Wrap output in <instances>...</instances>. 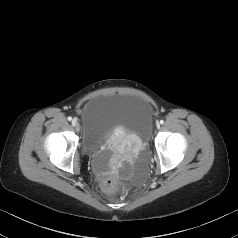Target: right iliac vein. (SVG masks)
I'll list each match as a JSON object with an SVG mask.
<instances>
[{"instance_id":"63e3f726","label":"right iliac vein","mask_w":238,"mask_h":238,"mask_svg":"<svg viewBox=\"0 0 238 238\" xmlns=\"http://www.w3.org/2000/svg\"><path fill=\"white\" fill-rule=\"evenodd\" d=\"M72 125L75 126V127L78 125V121H77L76 118H74V119L72 120Z\"/></svg>"}]
</instances>
